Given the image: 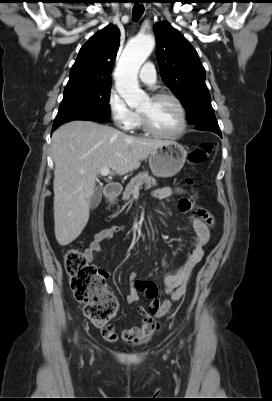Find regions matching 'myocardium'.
Segmentation results:
<instances>
[{"instance_id": "myocardium-1", "label": "myocardium", "mask_w": 272, "mask_h": 401, "mask_svg": "<svg viewBox=\"0 0 272 401\" xmlns=\"http://www.w3.org/2000/svg\"><path fill=\"white\" fill-rule=\"evenodd\" d=\"M150 99L152 101H156V100H160V99L173 100L179 109L180 117H181V124H180V127L174 132H170V133L162 132V131L155 129L151 125L147 114L139 110L140 125H141L142 129L145 132H147L153 136H157V137H161V138H176V137L182 135L187 128V113H186V109H185L182 101L176 95L169 93V92L154 93L150 96Z\"/></svg>"}]
</instances>
